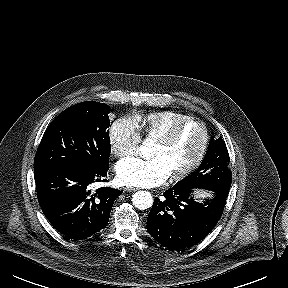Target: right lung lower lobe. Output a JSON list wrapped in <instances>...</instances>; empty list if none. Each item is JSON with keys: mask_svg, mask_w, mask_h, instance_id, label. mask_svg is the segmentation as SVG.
I'll list each match as a JSON object with an SVG mask.
<instances>
[{"mask_svg": "<svg viewBox=\"0 0 288 288\" xmlns=\"http://www.w3.org/2000/svg\"><path fill=\"white\" fill-rule=\"evenodd\" d=\"M109 165L82 172L67 168H44L34 171L39 205L53 227L71 239H83L103 229L120 190L101 187L89 189L94 182L106 179Z\"/></svg>", "mask_w": 288, "mask_h": 288, "instance_id": "right-lung-lower-lobe-1", "label": "right lung lower lobe"}]
</instances>
